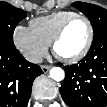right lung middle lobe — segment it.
<instances>
[{
	"mask_svg": "<svg viewBox=\"0 0 107 107\" xmlns=\"http://www.w3.org/2000/svg\"><path fill=\"white\" fill-rule=\"evenodd\" d=\"M26 17L22 9L0 2V46L16 49L13 43V32L16 25Z\"/></svg>",
	"mask_w": 107,
	"mask_h": 107,
	"instance_id": "dd1d6c3e",
	"label": "right lung middle lobe"
}]
</instances>
